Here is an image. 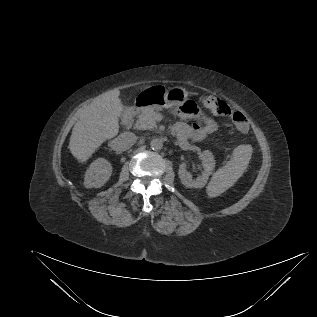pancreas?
I'll list each match as a JSON object with an SVG mask.
<instances>
[{"label":"pancreas","instance_id":"1","mask_svg":"<svg viewBox=\"0 0 317 317\" xmlns=\"http://www.w3.org/2000/svg\"><path fill=\"white\" fill-rule=\"evenodd\" d=\"M157 114L156 108L149 107L142 109V111L137 116V121L135 123V128L139 130L154 129L157 127L155 115Z\"/></svg>","mask_w":317,"mask_h":317}]
</instances>
